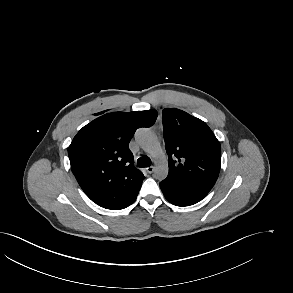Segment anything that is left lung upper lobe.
Returning a JSON list of instances; mask_svg holds the SVG:
<instances>
[{
    "label": "left lung upper lobe",
    "mask_w": 293,
    "mask_h": 293,
    "mask_svg": "<svg viewBox=\"0 0 293 293\" xmlns=\"http://www.w3.org/2000/svg\"><path fill=\"white\" fill-rule=\"evenodd\" d=\"M169 173L165 181L210 191L220 171L221 147L202 120L174 108L162 111Z\"/></svg>",
    "instance_id": "1"
}]
</instances>
